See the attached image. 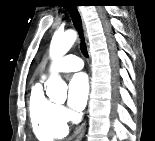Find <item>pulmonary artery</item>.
I'll list each match as a JSON object with an SVG mask.
<instances>
[{"instance_id":"obj_1","label":"pulmonary artery","mask_w":155,"mask_h":141,"mask_svg":"<svg viewBox=\"0 0 155 141\" xmlns=\"http://www.w3.org/2000/svg\"><path fill=\"white\" fill-rule=\"evenodd\" d=\"M83 61L80 57L75 55H66L54 62L50 70L52 71H62V72H71L82 69Z\"/></svg>"}]
</instances>
